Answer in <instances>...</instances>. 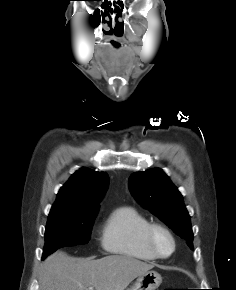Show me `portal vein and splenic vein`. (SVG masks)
Listing matches in <instances>:
<instances>
[{"instance_id":"18ae733b","label":"portal vein and splenic vein","mask_w":236,"mask_h":290,"mask_svg":"<svg viewBox=\"0 0 236 290\" xmlns=\"http://www.w3.org/2000/svg\"><path fill=\"white\" fill-rule=\"evenodd\" d=\"M87 290H94L92 287H89Z\"/></svg>"}]
</instances>
